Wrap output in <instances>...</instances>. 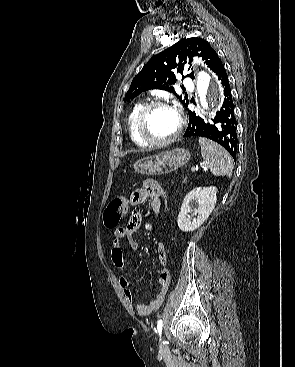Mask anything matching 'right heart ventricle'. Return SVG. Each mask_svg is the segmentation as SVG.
Returning <instances> with one entry per match:
<instances>
[{
    "label": "right heart ventricle",
    "instance_id": "1",
    "mask_svg": "<svg viewBox=\"0 0 295 367\" xmlns=\"http://www.w3.org/2000/svg\"><path fill=\"white\" fill-rule=\"evenodd\" d=\"M145 105L144 102L140 101L134 104V106L131 108L128 117H127V127H128V133L131 138V140L139 147L145 148L148 146L147 143H145L138 135L137 129H136V121L137 117L139 115V112Z\"/></svg>",
    "mask_w": 295,
    "mask_h": 367
}]
</instances>
